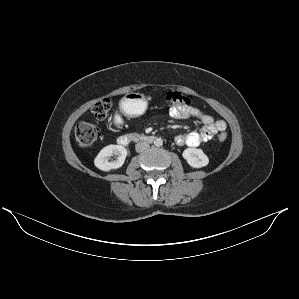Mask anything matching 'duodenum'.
Wrapping results in <instances>:
<instances>
[{
    "label": "duodenum",
    "mask_w": 299,
    "mask_h": 299,
    "mask_svg": "<svg viewBox=\"0 0 299 299\" xmlns=\"http://www.w3.org/2000/svg\"><path fill=\"white\" fill-rule=\"evenodd\" d=\"M155 140V137L152 135H139V136H133V135H121L118 138V144L121 146H127L131 144L133 141H143L146 143H152Z\"/></svg>",
    "instance_id": "duodenum-1"
}]
</instances>
